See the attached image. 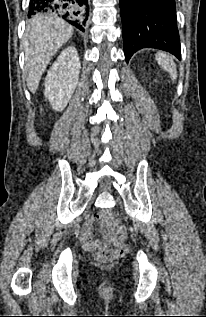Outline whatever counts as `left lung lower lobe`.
Instances as JSON below:
<instances>
[{"label":"left lung lower lobe","mask_w":206,"mask_h":317,"mask_svg":"<svg viewBox=\"0 0 206 317\" xmlns=\"http://www.w3.org/2000/svg\"><path fill=\"white\" fill-rule=\"evenodd\" d=\"M120 13L126 62L147 47L181 59L175 0H120Z\"/></svg>","instance_id":"1"}]
</instances>
